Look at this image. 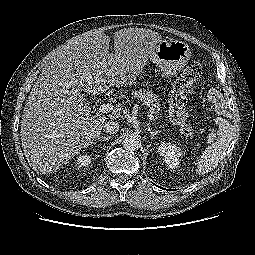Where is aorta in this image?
Wrapping results in <instances>:
<instances>
[{"mask_svg":"<svg viewBox=\"0 0 255 255\" xmlns=\"http://www.w3.org/2000/svg\"><path fill=\"white\" fill-rule=\"evenodd\" d=\"M122 145L127 151H136L139 148L140 140L135 135H127L123 139Z\"/></svg>","mask_w":255,"mask_h":255,"instance_id":"1","label":"aorta"}]
</instances>
